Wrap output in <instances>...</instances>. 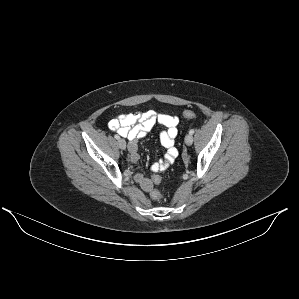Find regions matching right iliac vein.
Segmentation results:
<instances>
[{
	"instance_id": "63e3f726",
	"label": "right iliac vein",
	"mask_w": 299,
	"mask_h": 299,
	"mask_svg": "<svg viewBox=\"0 0 299 299\" xmlns=\"http://www.w3.org/2000/svg\"><path fill=\"white\" fill-rule=\"evenodd\" d=\"M118 145L122 150L126 149V142L124 139H118Z\"/></svg>"
}]
</instances>
